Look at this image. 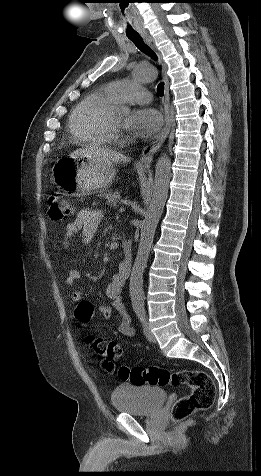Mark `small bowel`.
<instances>
[{
  "mask_svg": "<svg viewBox=\"0 0 261 476\" xmlns=\"http://www.w3.org/2000/svg\"><path fill=\"white\" fill-rule=\"evenodd\" d=\"M103 212L95 209H83L78 212L73 222L66 227V233L63 240V247L69 249L72 239L81 234L84 243H89L94 238L101 221L103 219ZM129 273L125 272L121 266L113 275L110 283L106 287V296L110 303L99 306L100 314L110 319L114 313L116 316V326L120 334L126 337H134L135 329L131 325V318L126 311L125 304L122 298V290L128 279ZM80 279V272L77 269H70L65 278V285L73 286ZM71 300L75 303L83 301V295L80 291H75L71 294Z\"/></svg>",
  "mask_w": 261,
  "mask_h": 476,
  "instance_id": "small-bowel-1",
  "label": "small bowel"
}]
</instances>
